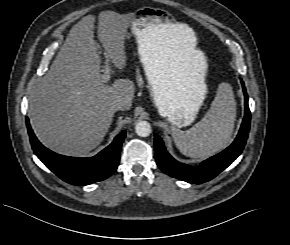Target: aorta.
Instances as JSON below:
<instances>
[{
    "label": "aorta",
    "instance_id": "obj_1",
    "mask_svg": "<svg viewBox=\"0 0 290 245\" xmlns=\"http://www.w3.org/2000/svg\"><path fill=\"white\" fill-rule=\"evenodd\" d=\"M151 131V125L147 121H139L135 126V132L140 137L149 136Z\"/></svg>",
    "mask_w": 290,
    "mask_h": 245
}]
</instances>
